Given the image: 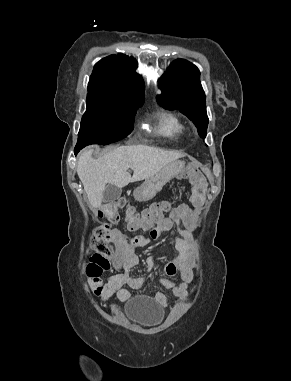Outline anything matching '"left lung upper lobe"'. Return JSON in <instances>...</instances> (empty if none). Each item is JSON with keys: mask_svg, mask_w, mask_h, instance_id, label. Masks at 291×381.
<instances>
[{"mask_svg": "<svg viewBox=\"0 0 291 381\" xmlns=\"http://www.w3.org/2000/svg\"><path fill=\"white\" fill-rule=\"evenodd\" d=\"M159 82L162 94L157 97L158 103L168 109H180L205 138L209 119L198 68L187 60L177 59Z\"/></svg>", "mask_w": 291, "mask_h": 381, "instance_id": "5c2ea615", "label": "left lung upper lobe"}]
</instances>
